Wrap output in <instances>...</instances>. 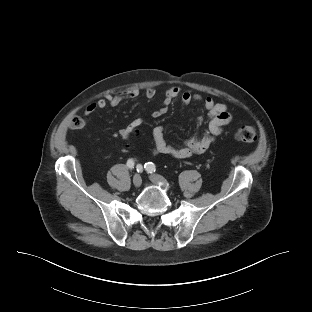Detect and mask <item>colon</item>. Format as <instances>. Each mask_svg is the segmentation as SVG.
<instances>
[{
    "mask_svg": "<svg viewBox=\"0 0 312 312\" xmlns=\"http://www.w3.org/2000/svg\"><path fill=\"white\" fill-rule=\"evenodd\" d=\"M85 125V121L80 116H74L70 120V126L75 129H81ZM235 138L239 141L251 143L257 139V132L253 126H241L235 132Z\"/></svg>",
    "mask_w": 312,
    "mask_h": 312,
    "instance_id": "5ec220e1",
    "label": "colon"
}]
</instances>
